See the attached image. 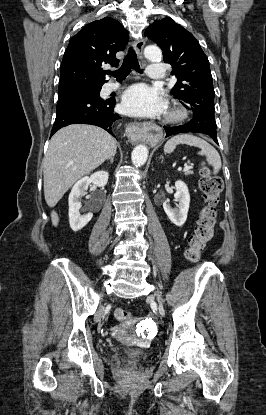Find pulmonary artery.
Instances as JSON below:
<instances>
[{
	"label": "pulmonary artery",
	"mask_w": 266,
	"mask_h": 415,
	"mask_svg": "<svg viewBox=\"0 0 266 415\" xmlns=\"http://www.w3.org/2000/svg\"><path fill=\"white\" fill-rule=\"evenodd\" d=\"M147 75L153 80H161L164 78V66L161 63H153L148 66ZM118 87L117 84L111 83L107 86L108 91H113Z\"/></svg>",
	"instance_id": "obj_1"
}]
</instances>
